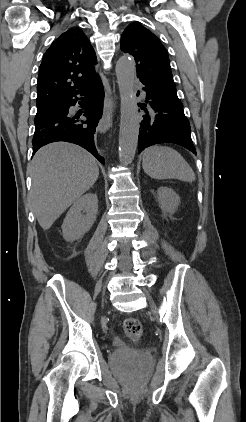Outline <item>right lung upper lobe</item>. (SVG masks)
Here are the masks:
<instances>
[{"label":"right lung upper lobe","instance_id":"right-lung-upper-lobe-1","mask_svg":"<svg viewBox=\"0 0 246 422\" xmlns=\"http://www.w3.org/2000/svg\"><path fill=\"white\" fill-rule=\"evenodd\" d=\"M96 54L79 28L61 34L43 56L37 82V110L86 88L97 76Z\"/></svg>","mask_w":246,"mask_h":422}]
</instances>
